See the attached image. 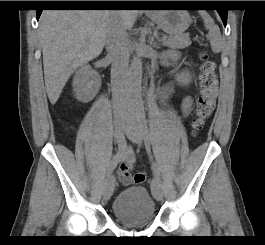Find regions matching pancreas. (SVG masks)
Listing matches in <instances>:
<instances>
[{
	"label": "pancreas",
	"mask_w": 265,
	"mask_h": 245,
	"mask_svg": "<svg viewBox=\"0 0 265 245\" xmlns=\"http://www.w3.org/2000/svg\"><path fill=\"white\" fill-rule=\"evenodd\" d=\"M164 45L172 49H183L190 46L191 41L187 35L170 36Z\"/></svg>",
	"instance_id": "pancreas-1"
}]
</instances>
